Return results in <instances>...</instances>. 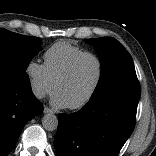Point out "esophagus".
Returning a JSON list of instances; mask_svg holds the SVG:
<instances>
[{"label": "esophagus", "instance_id": "obj_1", "mask_svg": "<svg viewBox=\"0 0 156 156\" xmlns=\"http://www.w3.org/2000/svg\"><path fill=\"white\" fill-rule=\"evenodd\" d=\"M43 111H44L45 114L54 113V111L52 109L48 108V107H44Z\"/></svg>", "mask_w": 156, "mask_h": 156}]
</instances>
